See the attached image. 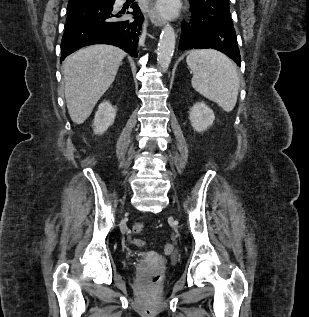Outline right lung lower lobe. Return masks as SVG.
Instances as JSON below:
<instances>
[{"mask_svg":"<svg viewBox=\"0 0 309 317\" xmlns=\"http://www.w3.org/2000/svg\"><path fill=\"white\" fill-rule=\"evenodd\" d=\"M115 0H69L61 61L72 52L91 44L120 47L131 56L138 54V37L144 17L136 3L133 11H118ZM127 14L133 15L128 18Z\"/></svg>","mask_w":309,"mask_h":317,"instance_id":"obj_1","label":"right lung lower lobe"}]
</instances>
